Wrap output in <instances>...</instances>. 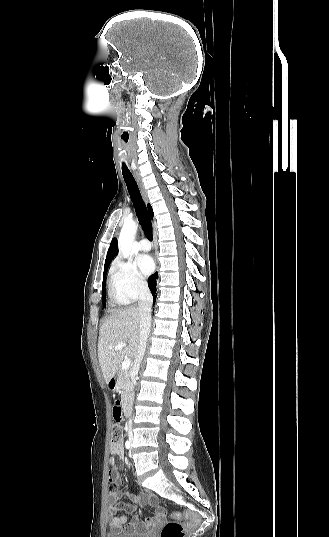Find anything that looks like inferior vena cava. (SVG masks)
Masks as SVG:
<instances>
[{"label": "inferior vena cava", "instance_id": "602c4592", "mask_svg": "<svg viewBox=\"0 0 329 537\" xmlns=\"http://www.w3.org/2000/svg\"><path fill=\"white\" fill-rule=\"evenodd\" d=\"M153 303L152 294L147 285L140 287L139 292V303H138V313H139V345L136 357L134 359L133 372L134 376L137 375L139 371L140 364L143 360L147 339L150 333L151 327V307ZM133 383L136 385L135 377L133 378ZM132 425V420L129 419V427Z\"/></svg>", "mask_w": 329, "mask_h": 537}]
</instances>
